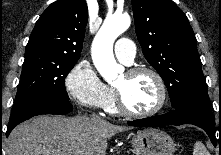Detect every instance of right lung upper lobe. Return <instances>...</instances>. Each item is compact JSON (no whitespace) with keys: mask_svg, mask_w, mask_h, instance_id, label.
I'll return each mask as SVG.
<instances>
[{"mask_svg":"<svg viewBox=\"0 0 221 155\" xmlns=\"http://www.w3.org/2000/svg\"><path fill=\"white\" fill-rule=\"evenodd\" d=\"M88 8L85 0H58L37 20L24 57L77 61L83 46Z\"/></svg>","mask_w":221,"mask_h":155,"instance_id":"obj_1","label":"right lung upper lobe"}]
</instances>
